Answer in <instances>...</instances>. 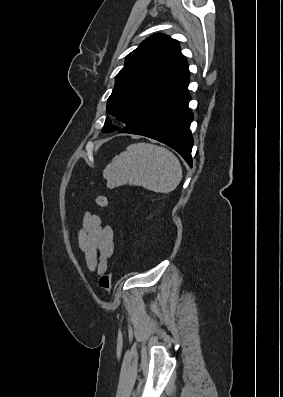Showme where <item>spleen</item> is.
I'll return each instance as SVG.
<instances>
[{
	"label": "spleen",
	"instance_id": "obj_1",
	"mask_svg": "<svg viewBox=\"0 0 283 397\" xmlns=\"http://www.w3.org/2000/svg\"><path fill=\"white\" fill-rule=\"evenodd\" d=\"M103 176L110 188L129 184L167 194L176 189L183 174L178 158L171 151L141 142L127 146L116 155L105 167Z\"/></svg>",
	"mask_w": 283,
	"mask_h": 397
}]
</instances>
